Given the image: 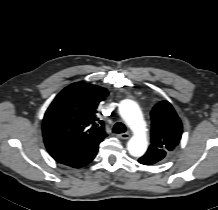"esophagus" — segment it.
Returning a JSON list of instances; mask_svg holds the SVG:
<instances>
[{
  "label": "esophagus",
  "instance_id": "1",
  "mask_svg": "<svg viewBox=\"0 0 218 210\" xmlns=\"http://www.w3.org/2000/svg\"><path fill=\"white\" fill-rule=\"evenodd\" d=\"M117 137L120 139L126 140V139H129L130 134L129 133H121V134H118Z\"/></svg>",
  "mask_w": 218,
  "mask_h": 210
}]
</instances>
